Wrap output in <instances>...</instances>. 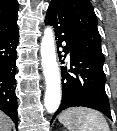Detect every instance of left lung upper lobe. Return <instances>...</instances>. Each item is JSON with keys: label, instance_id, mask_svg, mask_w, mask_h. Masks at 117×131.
Segmentation results:
<instances>
[{"label": "left lung upper lobe", "instance_id": "obj_1", "mask_svg": "<svg viewBox=\"0 0 117 131\" xmlns=\"http://www.w3.org/2000/svg\"><path fill=\"white\" fill-rule=\"evenodd\" d=\"M48 9L61 12L74 30L79 44L104 62L98 21L89 0H52Z\"/></svg>", "mask_w": 117, "mask_h": 131}]
</instances>
